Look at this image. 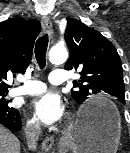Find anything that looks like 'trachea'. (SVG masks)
I'll return each mask as SVG.
<instances>
[{"instance_id": "1", "label": "trachea", "mask_w": 130, "mask_h": 153, "mask_svg": "<svg viewBox=\"0 0 130 153\" xmlns=\"http://www.w3.org/2000/svg\"><path fill=\"white\" fill-rule=\"evenodd\" d=\"M48 47V35L40 37L35 45V57L41 69L45 67L46 51Z\"/></svg>"}]
</instances>
